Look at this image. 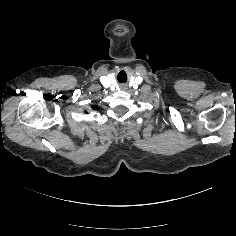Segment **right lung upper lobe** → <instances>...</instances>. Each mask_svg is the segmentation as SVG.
Masks as SVG:
<instances>
[{
  "label": "right lung upper lobe",
  "instance_id": "right-lung-upper-lobe-1",
  "mask_svg": "<svg viewBox=\"0 0 236 236\" xmlns=\"http://www.w3.org/2000/svg\"><path fill=\"white\" fill-rule=\"evenodd\" d=\"M98 107L96 106V107H94V109H97Z\"/></svg>",
  "mask_w": 236,
  "mask_h": 236
}]
</instances>
